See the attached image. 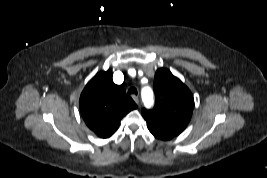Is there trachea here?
<instances>
[{
	"instance_id": "trachea-1",
	"label": "trachea",
	"mask_w": 267,
	"mask_h": 178,
	"mask_svg": "<svg viewBox=\"0 0 267 178\" xmlns=\"http://www.w3.org/2000/svg\"><path fill=\"white\" fill-rule=\"evenodd\" d=\"M131 94H134V95H137V90H136V88H130L129 90H128V95H131Z\"/></svg>"
}]
</instances>
